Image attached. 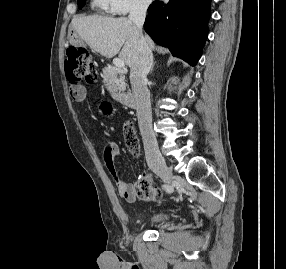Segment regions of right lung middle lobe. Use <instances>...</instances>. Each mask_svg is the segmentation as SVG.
<instances>
[{
    "instance_id": "obj_1",
    "label": "right lung middle lobe",
    "mask_w": 286,
    "mask_h": 269,
    "mask_svg": "<svg viewBox=\"0 0 286 269\" xmlns=\"http://www.w3.org/2000/svg\"><path fill=\"white\" fill-rule=\"evenodd\" d=\"M85 1L86 0H78V7H79V9L82 8V6L84 5Z\"/></svg>"
}]
</instances>
